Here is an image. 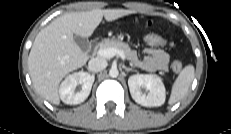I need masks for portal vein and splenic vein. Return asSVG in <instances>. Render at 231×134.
Segmentation results:
<instances>
[{
	"label": "portal vein and splenic vein",
	"instance_id": "portal-vein-and-splenic-vein-1",
	"mask_svg": "<svg viewBox=\"0 0 231 134\" xmlns=\"http://www.w3.org/2000/svg\"><path fill=\"white\" fill-rule=\"evenodd\" d=\"M97 54L104 58H112L118 55L123 61H125L126 56L122 50H118L116 48H103L99 49Z\"/></svg>",
	"mask_w": 231,
	"mask_h": 134
}]
</instances>
